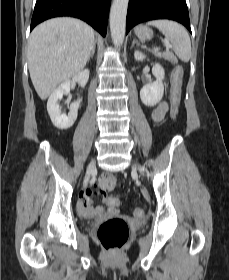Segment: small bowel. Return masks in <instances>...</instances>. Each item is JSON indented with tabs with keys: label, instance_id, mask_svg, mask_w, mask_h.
<instances>
[{
	"label": "small bowel",
	"instance_id": "obj_1",
	"mask_svg": "<svg viewBox=\"0 0 229 280\" xmlns=\"http://www.w3.org/2000/svg\"><path fill=\"white\" fill-rule=\"evenodd\" d=\"M168 111V105L166 102H160L152 111L151 118L155 123H159L165 117ZM110 189H104L102 194L104 196V203L106 207H96L91 206L90 196L98 192L96 186L91 189L84 190L79 199L77 210L80 216H103V215H115L118 213V206L114 204L116 197L108 196L107 191Z\"/></svg>",
	"mask_w": 229,
	"mask_h": 280
}]
</instances>
